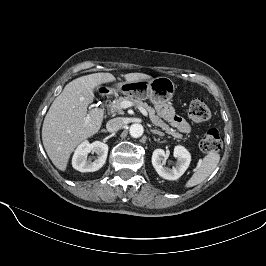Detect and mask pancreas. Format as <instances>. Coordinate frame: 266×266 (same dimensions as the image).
Segmentation results:
<instances>
[{
    "label": "pancreas",
    "mask_w": 266,
    "mask_h": 266,
    "mask_svg": "<svg viewBox=\"0 0 266 266\" xmlns=\"http://www.w3.org/2000/svg\"><path fill=\"white\" fill-rule=\"evenodd\" d=\"M125 100L130 101L134 106L143 107L148 112L151 122L154 125L161 127L162 130H164L167 134H170L177 139H187L186 137H183L182 134L176 132L175 129H172L168 124H166L158 115L155 114V110L150 107L146 102H142V100L133 98L131 96L119 97L118 99L113 100V102L109 104L110 111L115 114H123L124 112L121 108V102Z\"/></svg>",
    "instance_id": "obj_1"
}]
</instances>
